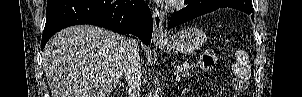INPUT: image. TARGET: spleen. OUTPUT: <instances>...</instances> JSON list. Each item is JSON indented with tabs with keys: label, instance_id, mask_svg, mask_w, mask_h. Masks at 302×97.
I'll use <instances>...</instances> for the list:
<instances>
[{
	"label": "spleen",
	"instance_id": "3e777b00",
	"mask_svg": "<svg viewBox=\"0 0 302 97\" xmlns=\"http://www.w3.org/2000/svg\"><path fill=\"white\" fill-rule=\"evenodd\" d=\"M235 55L236 61L232 66L233 73L241 79H250L251 71L247 54L242 50H238Z\"/></svg>",
	"mask_w": 302,
	"mask_h": 97
}]
</instances>
